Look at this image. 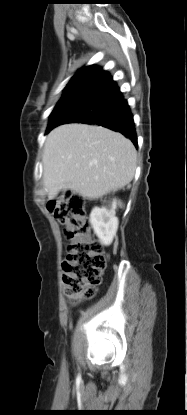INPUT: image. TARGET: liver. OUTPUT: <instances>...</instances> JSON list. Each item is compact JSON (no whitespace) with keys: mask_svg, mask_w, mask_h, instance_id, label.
I'll list each match as a JSON object with an SVG mask.
<instances>
[{"mask_svg":"<svg viewBox=\"0 0 187 415\" xmlns=\"http://www.w3.org/2000/svg\"><path fill=\"white\" fill-rule=\"evenodd\" d=\"M137 152L132 142L102 126L65 124L47 136L43 180L48 199L70 189L89 199L121 189L135 174Z\"/></svg>","mask_w":187,"mask_h":415,"instance_id":"obj_1","label":"liver"}]
</instances>
